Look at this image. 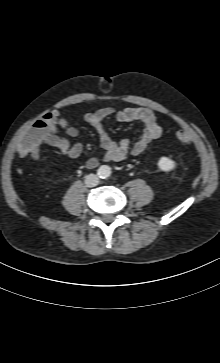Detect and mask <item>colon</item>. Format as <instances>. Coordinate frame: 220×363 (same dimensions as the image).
Returning a JSON list of instances; mask_svg holds the SVG:
<instances>
[{"label": "colon", "mask_w": 220, "mask_h": 363, "mask_svg": "<svg viewBox=\"0 0 220 363\" xmlns=\"http://www.w3.org/2000/svg\"><path fill=\"white\" fill-rule=\"evenodd\" d=\"M48 117H46L47 119ZM45 119V120H46ZM33 127L35 128L29 133V138L33 143H39L44 136V128L46 127V122L44 120L37 121ZM175 138L181 143H189L191 138L188 133L183 130H178L175 132Z\"/></svg>", "instance_id": "obj_1"}]
</instances>
